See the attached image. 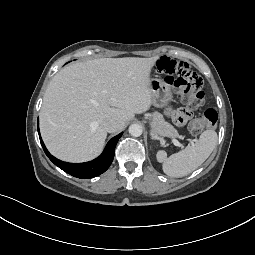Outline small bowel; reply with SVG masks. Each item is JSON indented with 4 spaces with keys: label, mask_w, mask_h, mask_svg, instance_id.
I'll return each mask as SVG.
<instances>
[{
    "label": "small bowel",
    "mask_w": 255,
    "mask_h": 255,
    "mask_svg": "<svg viewBox=\"0 0 255 255\" xmlns=\"http://www.w3.org/2000/svg\"><path fill=\"white\" fill-rule=\"evenodd\" d=\"M170 118L178 125H187L193 120L194 113L188 107H176L171 111Z\"/></svg>",
    "instance_id": "1"
}]
</instances>
